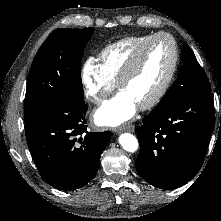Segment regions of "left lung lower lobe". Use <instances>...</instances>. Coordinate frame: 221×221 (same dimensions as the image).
Returning a JSON list of instances; mask_svg holds the SVG:
<instances>
[{
    "label": "left lung lower lobe",
    "mask_w": 221,
    "mask_h": 221,
    "mask_svg": "<svg viewBox=\"0 0 221 221\" xmlns=\"http://www.w3.org/2000/svg\"><path fill=\"white\" fill-rule=\"evenodd\" d=\"M215 125L211 92L158 104L135 129L138 174L153 186L173 189L200 170Z\"/></svg>",
    "instance_id": "obj_1"
}]
</instances>
